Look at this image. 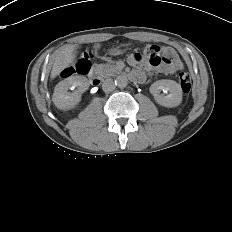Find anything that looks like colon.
<instances>
[{"label":"colon","mask_w":232,"mask_h":232,"mask_svg":"<svg viewBox=\"0 0 232 232\" xmlns=\"http://www.w3.org/2000/svg\"><path fill=\"white\" fill-rule=\"evenodd\" d=\"M144 56H146L149 62L154 66H169L171 69H176L173 57L168 55L163 47L154 45L146 48ZM92 57L93 53L91 51L82 53L73 66L66 67L61 72V76L69 77L74 74L85 75L90 69V60ZM179 82L182 91L188 94L192 87L190 76L186 72H181L179 74Z\"/></svg>","instance_id":"obj_1"}]
</instances>
